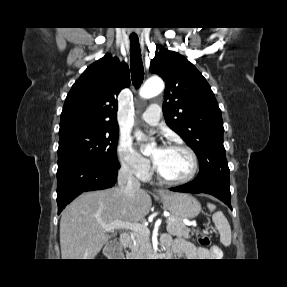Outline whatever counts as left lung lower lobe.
I'll return each mask as SVG.
<instances>
[{
    "label": "left lung lower lobe",
    "mask_w": 287,
    "mask_h": 287,
    "mask_svg": "<svg viewBox=\"0 0 287 287\" xmlns=\"http://www.w3.org/2000/svg\"><path fill=\"white\" fill-rule=\"evenodd\" d=\"M170 190L175 192L184 193H206L213 195L223 201L230 209H232L230 204V185L224 181L213 180V181H203V182H190L185 185L171 188Z\"/></svg>",
    "instance_id": "1"
}]
</instances>
